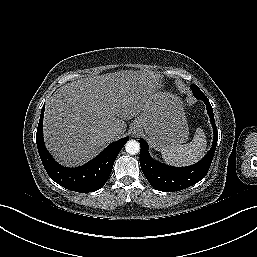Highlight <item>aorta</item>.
Returning a JSON list of instances; mask_svg holds the SVG:
<instances>
[{
    "instance_id": "1",
    "label": "aorta",
    "mask_w": 257,
    "mask_h": 257,
    "mask_svg": "<svg viewBox=\"0 0 257 257\" xmlns=\"http://www.w3.org/2000/svg\"><path fill=\"white\" fill-rule=\"evenodd\" d=\"M126 152L129 154H137L140 151V144L135 140H129L125 145Z\"/></svg>"
}]
</instances>
